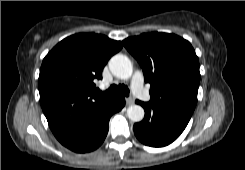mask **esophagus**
<instances>
[{"label":"esophagus","mask_w":245,"mask_h":170,"mask_svg":"<svg viewBox=\"0 0 245 170\" xmlns=\"http://www.w3.org/2000/svg\"><path fill=\"white\" fill-rule=\"evenodd\" d=\"M126 104L127 105H133L134 104V99L132 97L126 98Z\"/></svg>","instance_id":"1"}]
</instances>
